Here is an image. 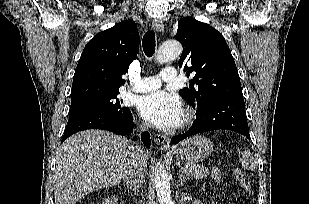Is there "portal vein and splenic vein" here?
I'll return each instance as SVG.
<instances>
[{
    "label": "portal vein and splenic vein",
    "mask_w": 309,
    "mask_h": 204,
    "mask_svg": "<svg viewBox=\"0 0 309 204\" xmlns=\"http://www.w3.org/2000/svg\"><path fill=\"white\" fill-rule=\"evenodd\" d=\"M182 170H183V171H186V167H183V168L181 169V171H182Z\"/></svg>",
    "instance_id": "1"
}]
</instances>
